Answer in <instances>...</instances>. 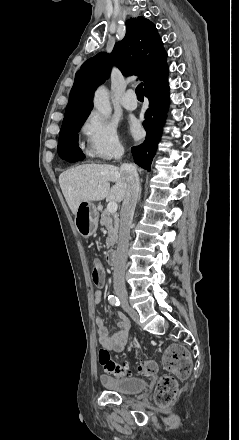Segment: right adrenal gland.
Instances as JSON below:
<instances>
[{"label":"right adrenal gland","mask_w":239,"mask_h":440,"mask_svg":"<svg viewBox=\"0 0 239 440\" xmlns=\"http://www.w3.org/2000/svg\"><path fill=\"white\" fill-rule=\"evenodd\" d=\"M141 190H142V188H141V186H139V192H138V200H137V202H139V200H140V198H141Z\"/></svg>","instance_id":"1"}]
</instances>
